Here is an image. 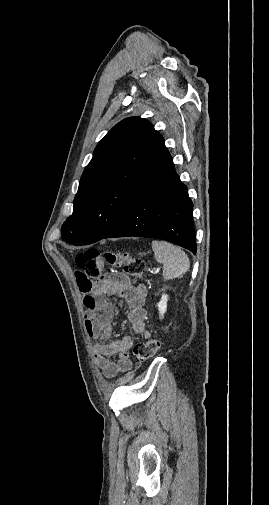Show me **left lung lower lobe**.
<instances>
[{
	"instance_id": "obj_1",
	"label": "left lung lower lobe",
	"mask_w": 269,
	"mask_h": 505,
	"mask_svg": "<svg viewBox=\"0 0 269 505\" xmlns=\"http://www.w3.org/2000/svg\"><path fill=\"white\" fill-rule=\"evenodd\" d=\"M193 203L159 134L121 216L103 238L149 237L196 253ZM102 238V239H103Z\"/></svg>"
}]
</instances>
